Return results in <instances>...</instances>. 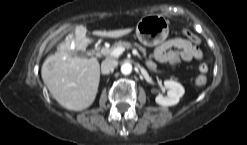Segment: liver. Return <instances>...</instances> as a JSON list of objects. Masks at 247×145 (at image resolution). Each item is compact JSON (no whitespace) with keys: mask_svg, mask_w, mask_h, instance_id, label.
<instances>
[{"mask_svg":"<svg viewBox=\"0 0 247 145\" xmlns=\"http://www.w3.org/2000/svg\"><path fill=\"white\" fill-rule=\"evenodd\" d=\"M131 28L114 31H94L101 37L119 38L129 34ZM92 42L86 37V28L77 26L75 36L68 35L58 51L49 55L41 68L43 82L52 97L64 108L81 111L94 102L100 81V64L96 58L75 55Z\"/></svg>","mask_w":247,"mask_h":145,"instance_id":"liver-1","label":"liver"}]
</instances>
